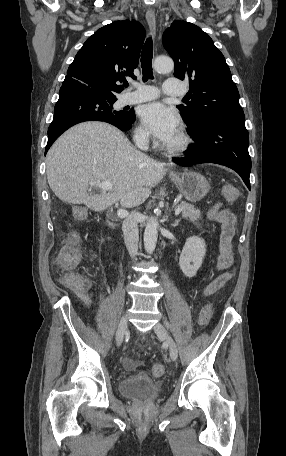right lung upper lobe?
I'll use <instances>...</instances> for the list:
<instances>
[{"instance_id":"right-lung-upper-lobe-1","label":"right lung upper lobe","mask_w":286,"mask_h":456,"mask_svg":"<svg viewBox=\"0 0 286 456\" xmlns=\"http://www.w3.org/2000/svg\"><path fill=\"white\" fill-rule=\"evenodd\" d=\"M144 39L145 30L137 21H115L98 29L76 54L63 84H80L115 100L123 90L118 83L135 77Z\"/></svg>"}]
</instances>
